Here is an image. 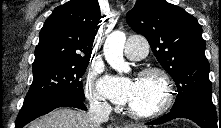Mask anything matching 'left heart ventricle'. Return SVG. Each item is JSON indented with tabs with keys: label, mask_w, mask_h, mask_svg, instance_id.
<instances>
[{
	"label": "left heart ventricle",
	"mask_w": 221,
	"mask_h": 128,
	"mask_svg": "<svg viewBox=\"0 0 221 128\" xmlns=\"http://www.w3.org/2000/svg\"><path fill=\"white\" fill-rule=\"evenodd\" d=\"M161 85L157 78L147 77L139 80V85L129 106L137 110L149 109L160 95Z\"/></svg>",
	"instance_id": "obj_1"
}]
</instances>
